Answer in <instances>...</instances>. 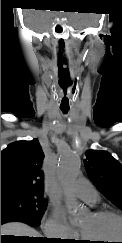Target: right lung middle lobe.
<instances>
[{"label":"right lung middle lobe","mask_w":122,"mask_h":243,"mask_svg":"<svg viewBox=\"0 0 122 243\" xmlns=\"http://www.w3.org/2000/svg\"><path fill=\"white\" fill-rule=\"evenodd\" d=\"M47 202L35 195H11L1 197V208L21 211L41 220Z\"/></svg>","instance_id":"dd1d6c3e"}]
</instances>
